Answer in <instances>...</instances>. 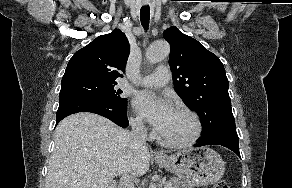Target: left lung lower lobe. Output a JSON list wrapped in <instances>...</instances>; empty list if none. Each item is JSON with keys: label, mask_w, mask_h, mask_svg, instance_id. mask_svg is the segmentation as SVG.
<instances>
[{"label": "left lung lower lobe", "mask_w": 292, "mask_h": 188, "mask_svg": "<svg viewBox=\"0 0 292 188\" xmlns=\"http://www.w3.org/2000/svg\"><path fill=\"white\" fill-rule=\"evenodd\" d=\"M221 145L229 148L240 157L239 138L235 129V124L218 128L209 134L202 135L195 147L205 145Z\"/></svg>", "instance_id": "1"}]
</instances>
